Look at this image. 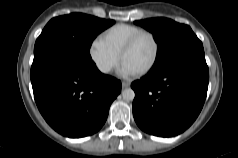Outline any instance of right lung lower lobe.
I'll return each mask as SVG.
<instances>
[{
	"instance_id": "98d812e1",
	"label": "right lung lower lobe",
	"mask_w": 238,
	"mask_h": 158,
	"mask_svg": "<svg viewBox=\"0 0 238 158\" xmlns=\"http://www.w3.org/2000/svg\"><path fill=\"white\" fill-rule=\"evenodd\" d=\"M31 83L46 122L71 138L97 132L121 91V82L102 74L92 60L55 44L34 53Z\"/></svg>"
}]
</instances>
